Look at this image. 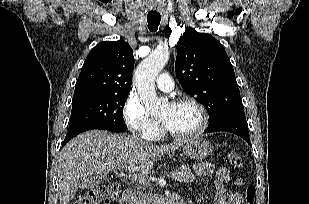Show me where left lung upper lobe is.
Masks as SVG:
<instances>
[{"instance_id": "obj_1", "label": "left lung upper lobe", "mask_w": 309, "mask_h": 204, "mask_svg": "<svg viewBox=\"0 0 309 204\" xmlns=\"http://www.w3.org/2000/svg\"><path fill=\"white\" fill-rule=\"evenodd\" d=\"M175 71L183 89L205 106L209 123L244 110L233 66L213 36L186 28L177 43Z\"/></svg>"}]
</instances>
